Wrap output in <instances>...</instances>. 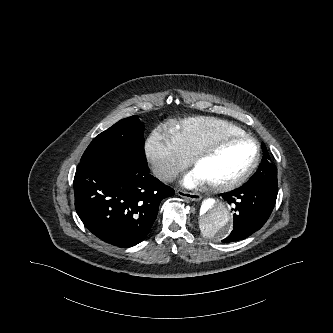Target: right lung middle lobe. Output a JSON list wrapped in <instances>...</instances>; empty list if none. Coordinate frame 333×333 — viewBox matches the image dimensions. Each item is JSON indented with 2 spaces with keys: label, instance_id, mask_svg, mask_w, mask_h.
<instances>
[{
  "label": "right lung middle lobe",
  "instance_id": "dd1d6c3e",
  "mask_svg": "<svg viewBox=\"0 0 333 333\" xmlns=\"http://www.w3.org/2000/svg\"><path fill=\"white\" fill-rule=\"evenodd\" d=\"M143 133L137 116L122 119L92 140L80 164L115 161L125 166H147Z\"/></svg>",
  "mask_w": 333,
  "mask_h": 333
}]
</instances>
